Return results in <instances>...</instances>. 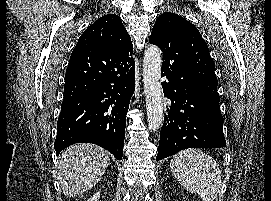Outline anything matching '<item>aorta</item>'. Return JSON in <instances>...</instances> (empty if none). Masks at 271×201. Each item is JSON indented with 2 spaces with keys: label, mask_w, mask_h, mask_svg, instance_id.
<instances>
[{
  "label": "aorta",
  "mask_w": 271,
  "mask_h": 201,
  "mask_svg": "<svg viewBox=\"0 0 271 201\" xmlns=\"http://www.w3.org/2000/svg\"><path fill=\"white\" fill-rule=\"evenodd\" d=\"M161 65V50L155 45H150L143 57V82L147 122L153 132L160 128L163 120Z\"/></svg>",
  "instance_id": "aorta-1"
}]
</instances>
